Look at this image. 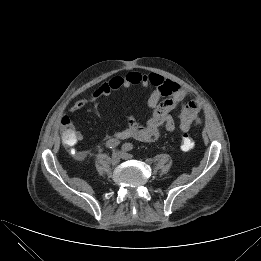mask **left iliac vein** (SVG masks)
Returning <instances> with one entry per match:
<instances>
[{
	"instance_id": "4c4485c4",
	"label": "left iliac vein",
	"mask_w": 261,
	"mask_h": 261,
	"mask_svg": "<svg viewBox=\"0 0 261 261\" xmlns=\"http://www.w3.org/2000/svg\"><path fill=\"white\" fill-rule=\"evenodd\" d=\"M132 156L128 153H125V152H121V158L122 159H130Z\"/></svg>"
}]
</instances>
